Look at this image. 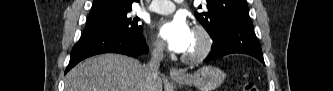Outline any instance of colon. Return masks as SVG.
<instances>
[{"mask_svg": "<svg viewBox=\"0 0 333 91\" xmlns=\"http://www.w3.org/2000/svg\"><path fill=\"white\" fill-rule=\"evenodd\" d=\"M243 91H258V89L254 82L248 81L244 84Z\"/></svg>", "mask_w": 333, "mask_h": 91, "instance_id": "obj_1", "label": "colon"}]
</instances>
